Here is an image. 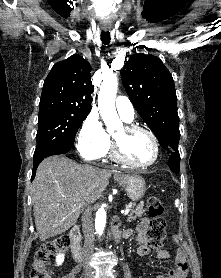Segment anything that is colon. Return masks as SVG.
I'll use <instances>...</instances> for the list:
<instances>
[{"instance_id":"colon-1","label":"colon","mask_w":221,"mask_h":278,"mask_svg":"<svg viewBox=\"0 0 221 278\" xmlns=\"http://www.w3.org/2000/svg\"><path fill=\"white\" fill-rule=\"evenodd\" d=\"M147 210L151 217L148 227L150 245L152 248L160 250L167 236V224L162 217L163 203L157 197L152 196L147 200ZM69 243V238L64 236L41 245L35 253L30 278H51L45 267L47 261L52 259L58 251L67 248Z\"/></svg>"}]
</instances>
